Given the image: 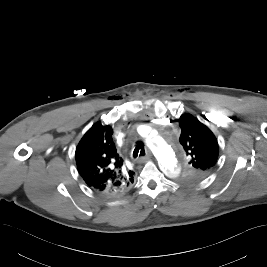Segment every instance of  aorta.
Returning <instances> with one entry per match:
<instances>
[{"label": "aorta", "mask_w": 267, "mask_h": 267, "mask_svg": "<svg viewBox=\"0 0 267 267\" xmlns=\"http://www.w3.org/2000/svg\"><path fill=\"white\" fill-rule=\"evenodd\" d=\"M147 145L154 151L164 173L170 178H177L181 168L175 152L159 137L148 140Z\"/></svg>", "instance_id": "aorta-1"}]
</instances>
